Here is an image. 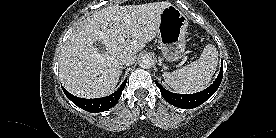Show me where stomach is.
<instances>
[{
  "label": "stomach",
  "instance_id": "0dacf381",
  "mask_svg": "<svg viewBox=\"0 0 276 138\" xmlns=\"http://www.w3.org/2000/svg\"><path fill=\"white\" fill-rule=\"evenodd\" d=\"M188 27L186 15L170 4L160 15L158 29L159 48L168 63L178 61L185 51V34Z\"/></svg>",
  "mask_w": 276,
  "mask_h": 138
}]
</instances>
